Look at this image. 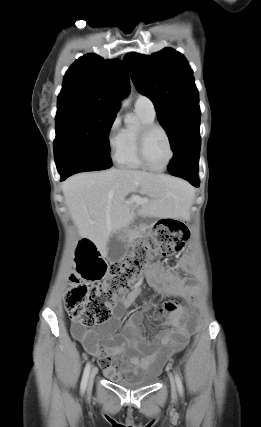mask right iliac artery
Masks as SVG:
<instances>
[{
    "label": "right iliac artery",
    "instance_id": "obj_1",
    "mask_svg": "<svg viewBox=\"0 0 261 427\" xmlns=\"http://www.w3.org/2000/svg\"><path fill=\"white\" fill-rule=\"evenodd\" d=\"M90 368H91V364L87 363L84 369V373H83V377H82V381H81V392L84 393L86 386H87V381H88V377H89V373H90Z\"/></svg>",
    "mask_w": 261,
    "mask_h": 427
}]
</instances>
